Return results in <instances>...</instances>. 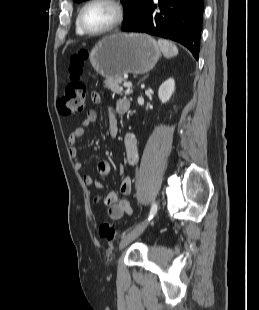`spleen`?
Wrapping results in <instances>:
<instances>
[{
  "mask_svg": "<svg viewBox=\"0 0 259 310\" xmlns=\"http://www.w3.org/2000/svg\"><path fill=\"white\" fill-rule=\"evenodd\" d=\"M158 46L160 47L164 57L172 58L178 54V48L174 43L168 40L159 39Z\"/></svg>",
  "mask_w": 259,
  "mask_h": 310,
  "instance_id": "3e777b00",
  "label": "spleen"
}]
</instances>
